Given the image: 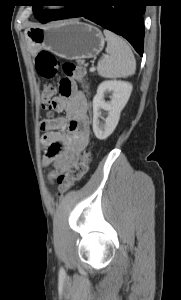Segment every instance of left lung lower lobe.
<instances>
[{
  "instance_id": "0a47b994",
  "label": "left lung lower lobe",
  "mask_w": 181,
  "mask_h": 300,
  "mask_svg": "<svg viewBox=\"0 0 181 300\" xmlns=\"http://www.w3.org/2000/svg\"><path fill=\"white\" fill-rule=\"evenodd\" d=\"M145 4L142 0H76L47 22L84 17L127 39L143 55ZM46 22V23H47Z\"/></svg>"
}]
</instances>
